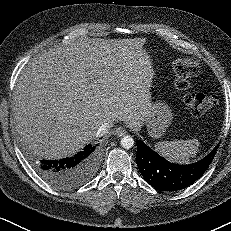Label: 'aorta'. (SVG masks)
<instances>
[{"instance_id":"762f6f07","label":"aorta","mask_w":231,"mask_h":231,"mask_svg":"<svg viewBox=\"0 0 231 231\" xmlns=\"http://www.w3.org/2000/svg\"><path fill=\"white\" fill-rule=\"evenodd\" d=\"M120 142L121 146L125 149H130L134 145V139L129 135L122 137Z\"/></svg>"}]
</instances>
